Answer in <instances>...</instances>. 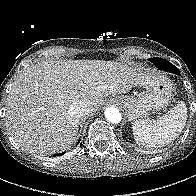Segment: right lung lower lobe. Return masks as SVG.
Instances as JSON below:
<instances>
[{
	"label": "right lung lower lobe",
	"mask_w": 196,
	"mask_h": 196,
	"mask_svg": "<svg viewBox=\"0 0 196 196\" xmlns=\"http://www.w3.org/2000/svg\"><path fill=\"white\" fill-rule=\"evenodd\" d=\"M79 143V142H78ZM81 145H82V142L80 143V147H81ZM64 153H60V154H57V155H55V156H62Z\"/></svg>",
	"instance_id": "1"
}]
</instances>
